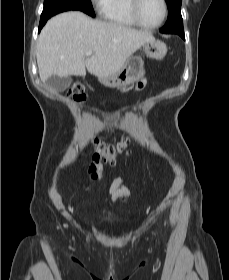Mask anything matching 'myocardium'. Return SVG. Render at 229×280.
<instances>
[{"label":"myocardium","mask_w":229,"mask_h":280,"mask_svg":"<svg viewBox=\"0 0 229 280\" xmlns=\"http://www.w3.org/2000/svg\"><path fill=\"white\" fill-rule=\"evenodd\" d=\"M142 0H130L129 8H130V13L134 21L136 22L137 25L147 28V29H156L159 28L166 20L167 14H168V5L166 0H161L162 7H163V15L161 17V20L154 25H149L146 24L145 22L142 21L139 13L140 5H141Z\"/></svg>","instance_id":"1"}]
</instances>
